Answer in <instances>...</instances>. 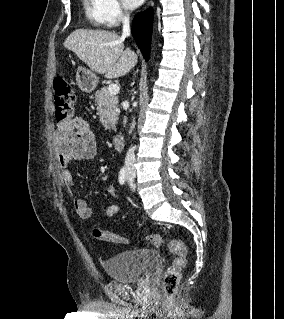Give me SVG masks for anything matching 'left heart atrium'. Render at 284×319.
Listing matches in <instances>:
<instances>
[{"mask_svg":"<svg viewBox=\"0 0 284 319\" xmlns=\"http://www.w3.org/2000/svg\"><path fill=\"white\" fill-rule=\"evenodd\" d=\"M124 5L129 9H135L139 7L144 0H122Z\"/></svg>","mask_w":284,"mask_h":319,"instance_id":"obj_1","label":"left heart atrium"}]
</instances>
